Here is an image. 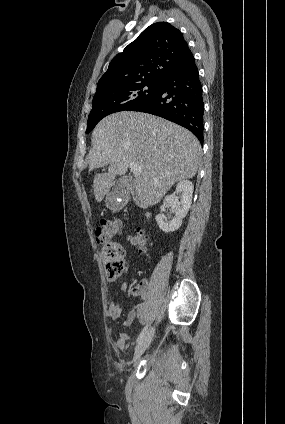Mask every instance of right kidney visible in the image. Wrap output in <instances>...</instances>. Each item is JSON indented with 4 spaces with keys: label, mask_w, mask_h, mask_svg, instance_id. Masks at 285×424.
<instances>
[{
    "label": "right kidney",
    "mask_w": 285,
    "mask_h": 424,
    "mask_svg": "<svg viewBox=\"0 0 285 424\" xmlns=\"http://www.w3.org/2000/svg\"><path fill=\"white\" fill-rule=\"evenodd\" d=\"M193 189L192 182L188 180L180 181L176 186L175 192L164 199L161 212L165 210L167 205L171 204L175 217L171 221H167L165 215L162 213L156 216L157 224L163 232H173L181 227L182 220L186 217L192 203Z\"/></svg>",
    "instance_id": "ca27d5eb"
}]
</instances>
